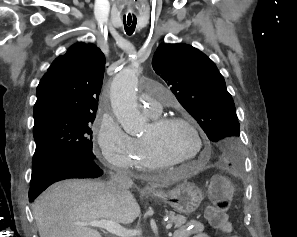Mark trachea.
Masks as SVG:
<instances>
[{
	"mask_svg": "<svg viewBox=\"0 0 297 237\" xmlns=\"http://www.w3.org/2000/svg\"><path fill=\"white\" fill-rule=\"evenodd\" d=\"M124 28L128 35H132L136 27V19H123Z\"/></svg>",
	"mask_w": 297,
	"mask_h": 237,
	"instance_id": "obj_1",
	"label": "trachea"
}]
</instances>
